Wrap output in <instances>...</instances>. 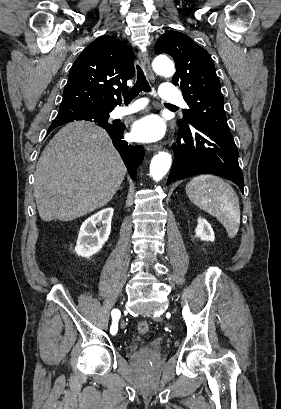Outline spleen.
I'll return each mask as SVG.
<instances>
[{"label": "spleen", "instance_id": "spleen-1", "mask_svg": "<svg viewBox=\"0 0 281 409\" xmlns=\"http://www.w3.org/2000/svg\"><path fill=\"white\" fill-rule=\"evenodd\" d=\"M186 192L193 205L222 223L230 239L236 237L241 213L239 198L231 184L214 174H199L186 184Z\"/></svg>", "mask_w": 281, "mask_h": 409}]
</instances>
